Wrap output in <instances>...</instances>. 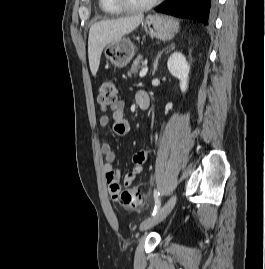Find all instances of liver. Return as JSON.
<instances>
[{
    "label": "liver",
    "instance_id": "obj_1",
    "mask_svg": "<svg viewBox=\"0 0 265 269\" xmlns=\"http://www.w3.org/2000/svg\"><path fill=\"white\" fill-rule=\"evenodd\" d=\"M142 14L94 23L89 30L88 59L93 76L96 75L103 49L134 31L142 22Z\"/></svg>",
    "mask_w": 265,
    "mask_h": 269
}]
</instances>
